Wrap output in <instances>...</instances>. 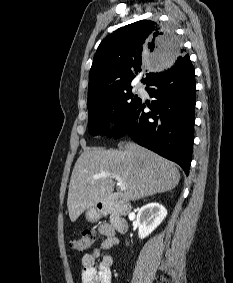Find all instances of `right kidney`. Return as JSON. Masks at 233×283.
<instances>
[{
	"label": "right kidney",
	"instance_id": "obj_1",
	"mask_svg": "<svg viewBox=\"0 0 233 283\" xmlns=\"http://www.w3.org/2000/svg\"><path fill=\"white\" fill-rule=\"evenodd\" d=\"M167 215L165 207L153 202L142 206L137 213L138 236L141 239L151 234Z\"/></svg>",
	"mask_w": 233,
	"mask_h": 283
}]
</instances>
